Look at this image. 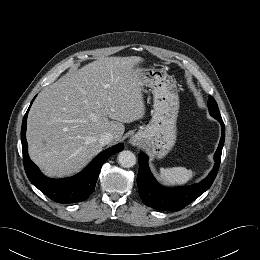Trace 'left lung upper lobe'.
I'll return each instance as SVG.
<instances>
[{"mask_svg": "<svg viewBox=\"0 0 260 260\" xmlns=\"http://www.w3.org/2000/svg\"><path fill=\"white\" fill-rule=\"evenodd\" d=\"M208 108L210 115H212L214 118H221V115L218 111V105L215 99L211 96L208 99Z\"/></svg>", "mask_w": 260, "mask_h": 260, "instance_id": "obj_1", "label": "left lung upper lobe"}]
</instances>
